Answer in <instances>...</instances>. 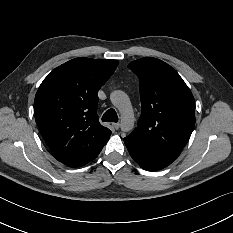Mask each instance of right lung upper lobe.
Segmentation results:
<instances>
[{"mask_svg":"<svg viewBox=\"0 0 233 233\" xmlns=\"http://www.w3.org/2000/svg\"><path fill=\"white\" fill-rule=\"evenodd\" d=\"M118 66L117 60L85 57L55 68L41 83L34 115L52 155L70 167L94 159L111 131L99 123L98 91Z\"/></svg>","mask_w":233,"mask_h":233,"instance_id":"cb5924a9","label":"right lung upper lobe"}]
</instances>
